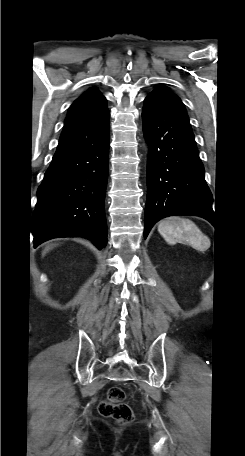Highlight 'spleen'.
Returning <instances> with one entry per match:
<instances>
[{"instance_id":"1","label":"spleen","mask_w":245,"mask_h":456,"mask_svg":"<svg viewBox=\"0 0 245 456\" xmlns=\"http://www.w3.org/2000/svg\"><path fill=\"white\" fill-rule=\"evenodd\" d=\"M158 231L170 244L184 241L201 251L206 250L210 246L208 237L190 219L176 216L169 217L159 223Z\"/></svg>"}]
</instances>
